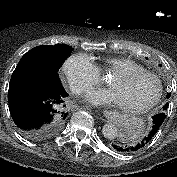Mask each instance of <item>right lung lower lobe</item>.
<instances>
[{"label":"right lung lower lobe","instance_id":"98d812e1","mask_svg":"<svg viewBox=\"0 0 177 177\" xmlns=\"http://www.w3.org/2000/svg\"><path fill=\"white\" fill-rule=\"evenodd\" d=\"M9 110L19 131L33 140L60 132L67 120L68 93L43 80H10Z\"/></svg>","mask_w":177,"mask_h":177}]
</instances>
